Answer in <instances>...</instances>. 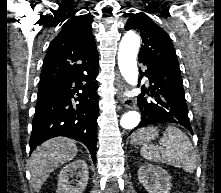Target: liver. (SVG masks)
Here are the masks:
<instances>
[{
  "instance_id": "1",
  "label": "liver",
  "mask_w": 221,
  "mask_h": 193,
  "mask_svg": "<svg viewBox=\"0 0 221 193\" xmlns=\"http://www.w3.org/2000/svg\"><path fill=\"white\" fill-rule=\"evenodd\" d=\"M78 153L74 140L55 137L38 146L30 157L31 186L39 192L49 175L61 165L73 160Z\"/></svg>"
}]
</instances>
